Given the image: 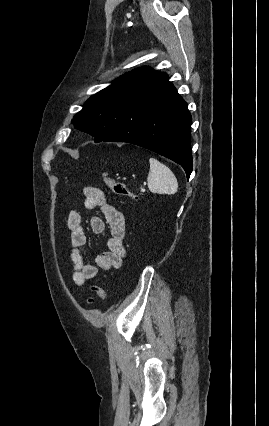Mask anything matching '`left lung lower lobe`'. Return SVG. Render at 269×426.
<instances>
[{"mask_svg":"<svg viewBox=\"0 0 269 426\" xmlns=\"http://www.w3.org/2000/svg\"><path fill=\"white\" fill-rule=\"evenodd\" d=\"M191 119L186 102L162 72L132 96L118 125L103 141L127 142L154 151L180 164L189 178Z\"/></svg>","mask_w":269,"mask_h":426,"instance_id":"0a47b994","label":"left lung lower lobe"}]
</instances>
